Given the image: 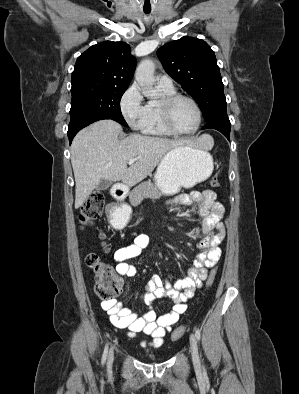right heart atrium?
Segmentation results:
<instances>
[{
    "mask_svg": "<svg viewBox=\"0 0 299 394\" xmlns=\"http://www.w3.org/2000/svg\"><path fill=\"white\" fill-rule=\"evenodd\" d=\"M122 115L134 130H141L147 114L142 93L137 84H132L123 94L120 102Z\"/></svg>",
    "mask_w": 299,
    "mask_h": 394,
    "instance_id": "obj_1",
    "label": "right heart atrium"
}]
</instances>
